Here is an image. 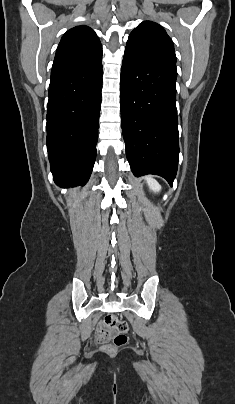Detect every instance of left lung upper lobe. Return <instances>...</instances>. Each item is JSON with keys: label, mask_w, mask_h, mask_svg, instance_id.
I'll list each match as a JSON object with an SVG mask.
<instances>
[{"label": "left lung upper lobe", "mask_w": 235, "mask_h": 404, "mask_svg": "<svg viewBox=\"0 0 235 404\" xmlns=\"http://www.w3.org/2000/svg\"><path fill=\"white\" fill-rule=\"evenodd\" d=\"M125 50L176 68L174 45L166 31L157 23L144 21L129 35Z\"/></svg>", "instance_id": "5c2ea615"}]
</instances>
